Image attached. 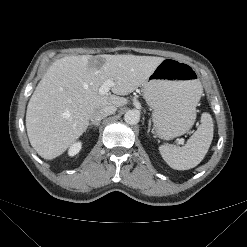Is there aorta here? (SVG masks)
I'll return each instance as SVG.
<instances>
[{
    "instance_id": "1",
    "label": "aorta",
    "mask_w": 247,
    "mask_h": 247,
    "mask_svg": "<svg viewBox=\"0 0 247 247\" xmlns=\"http://www.w3.org/2000/svg\"><path fill=\"white\" fill-rule=\"evenodd\" d=\"M127 124L136 125L140 120V113L137 110H129L124 115Z\"/></svg>"
}]
</instances>
